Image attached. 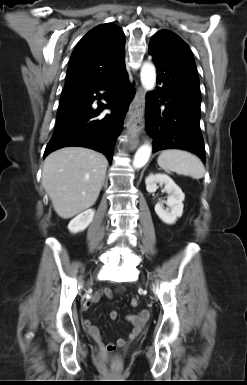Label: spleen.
Here are the masks:
<instances>
[{
    "mask_svg": "<svg viewBox=\"0 0 247 385\" xmlns=\"http://www.w3.org/2000/svg\"><path fill=\"white\" fill-rule=\"evenodd\" d=\"M157 163L168 173L176 172L194 179H201L205 174L202 161L196 155L184 150H164L158 156Z\"/></svg>",
    "mask_w": 247,
    "mask_h": 385,
    "instance_id": "1",
    "label": "spleen"
}]
</instances>
